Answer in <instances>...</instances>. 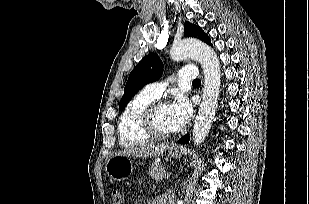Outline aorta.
Here are the masks:
<instances>
[{"label": "aorta", "instance_id": "762f6f07", "mask_svg": "<svg viewBox=\"0 0 309 204\" xmlns=\"http://www.w3.org/2000/svg\"><path fill=\"white\" fill-rule=\"evenodd\" d=\"M170 56L174 61L186 58L197 60L204 72V87L202 102L193 127L194 145L201 144L207 137L215 111L221 84V70L219 59L214 50L198 40L186 39L173 44Z\"/></svg>", "mask_w": 309, "mask_h": 204}]
</instances>
